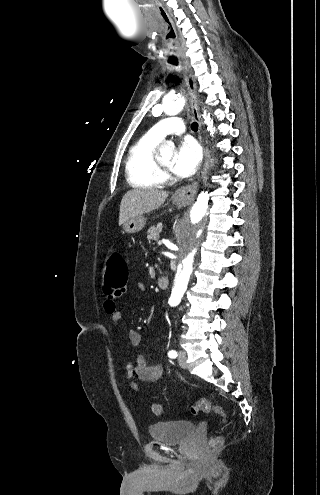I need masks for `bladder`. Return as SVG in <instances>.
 I'll return each mask as SVG.
<instances>
[{
	"label": "bladder",
	"mask_w": 320,
	"mask_h": 495,
	"mask_svg": "<svg viewBox=\"0 0 320 495\" xmlns=\"http://www.w3.org/2000/svg\"><path fill=\"white\" fill-rule=\"evenodd\" d=\"M196 431V424L189 420L160 421L149 426L150 437L165 444H181Z\"/></svg>",
	"instance_id": "bladder-1"
}]
</instances>
